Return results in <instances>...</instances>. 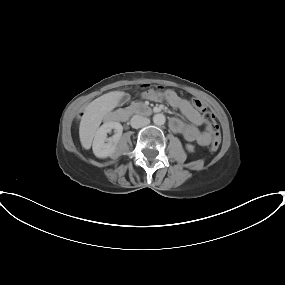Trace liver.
Wrapping results in <instances>:
<instances>
[{
  "label": "liver",
  "mask_w": 285,
  "mask_h": 285,
  "mask_svg": "<svg viewBox=\"0 0 285 285\" xmlns=\"http://www.w3.org/2000/svg\"><path fill=\"white\" fill-rule=\"evenodd\" d=\"M118 97V92H109L96 98L85 108L79 127V137L83 148L90 149L101 121L116 106Z\"/></svg>",
  "instance_id": "obj_1"
}]
</instances>
